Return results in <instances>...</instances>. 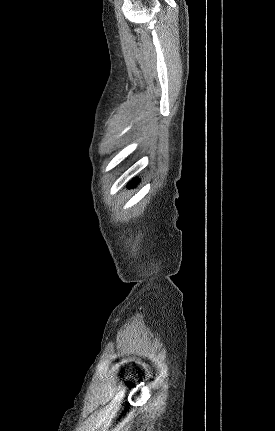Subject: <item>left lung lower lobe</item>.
<instances>
[{"mask_svg":"<svg viewBox=\"0 0 275 431\" xmlns=\"http://www.w3.org/2000/svg\"><path fill=\"white\" fill-rule=\"evenodd\" d=\"M137 179H134L133 181H131L127 186L128 187H131V186H134L136 183H137Z\"/></svg>","mask_w":275,"mask_h":431,"instance_id":"left-lung-lower-lobe-1","label":"left lung lower lobe"}]
</instances>
